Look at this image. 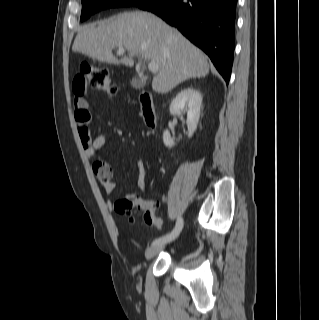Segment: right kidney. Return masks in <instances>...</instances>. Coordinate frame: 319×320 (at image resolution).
I'll return each mask as SVG.
<instances>
[{"label":"right kidney","instance_id":"right-kidney-1","mask_svg":"<svg viewBox=\"0 0 319 320\" xmlns=\"http://www.w3.org/2000/svg\"><path fill=\"white\" fill-rule=\"evenodd\" d=\"M201 105L202 95L193 88L182 90L170 104L169 110L171 115H181L183 112H187L188 137H192L197 129ZM163 142L164 145L169 148L175 145L168 130L163 132Z\"/></svg>","mask_w":319,"mask_h":320}]
</instances>
